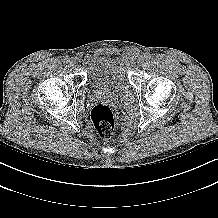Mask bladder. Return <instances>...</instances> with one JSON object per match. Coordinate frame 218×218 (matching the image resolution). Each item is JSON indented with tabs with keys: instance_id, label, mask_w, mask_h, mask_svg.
I'll return each mask as SVG.
<instances>
[{
	"instance_id": "bladder-1",
	"label": "bladder",
	"mask_w": 218,
	"mask_h": 218,
	"mask_svg": "<svg viewBox=\"0 0 218 218\" xmlns=\"http://www.w3.org/2000/svg\"><path fill=\"white\" fill-rule=\"evenodd\" d=\"M87 85L93 92H125L130 84L125 62L118 56L91 55L84 60Z\"/></svg>"
}]
</instances>
